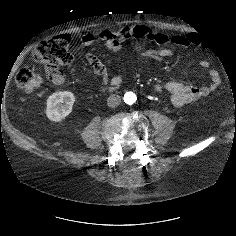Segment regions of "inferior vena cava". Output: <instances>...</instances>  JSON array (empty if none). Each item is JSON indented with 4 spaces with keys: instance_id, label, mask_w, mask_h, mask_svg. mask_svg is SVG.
Segmentation results:
<instances>
[{
    "instance_id": "inferior-vena-cava-1",
    "label": "inferior vena cava",
    "mask_w": 236,
    "mask_h": 236,
    "mask_svg": "<svg viewBox=\"0 0 236 236\" xmlns=\"http://www.w3.org/2000/svg\"><path fill=\"white\" fill-rule=\"evenodd\" d=\"M121 102V98L117 94H112L107 99V104L109 107L115 108L117 107Z\"/></svg>"
}]
</instances>
